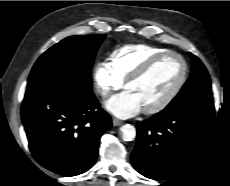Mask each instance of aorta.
<instances>
[{"label": "aorta", "mask_w": 230, "mask_h": 186, "mask_svg": "<svg viewBox=\"0 0 230 186\" xmlns=\"http://www.w3.org/2000/svg\"><path fill=\"white\" fill-rule=\"evenodd\" d=\"M120 132L125 141H132L136 137V129L130 124L121 126Z\"/></svg>", "instance_id": "1"}]
</instances>
